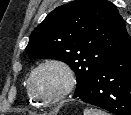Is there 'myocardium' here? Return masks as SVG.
<instances>
[{
	"mask_svg": "<svg viewBox=\"0 0 131 115\" xmlns=\"http://www.w3.org/2000/svg\"><path fill=\"white\" fill-rule=\"evenodd\" d=\"M46 67H56L58 68L64 75V85L62 89L56 94L55 96L47 99H43L39 97L33 90L32 87V81L34 76L39 72L40 70L46 68ZM76 83L75 73L71 66L66 63L63 60L56 59V58H50L42 61L39 63L29 74L27 78V92L28 94L38 103H40L43 106H52L57 103H59L61 100L66 98L71 91L73 90Z\"/></svg>",
	"mask_w": 131,
	"mask_h": 115,
	"instance_id": "myocardium-1",
	"label": "myocardium"
}]
</instances>
